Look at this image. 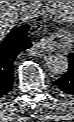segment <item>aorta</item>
I'll list each match as a JSON object with an SVG mask.
<instances>
[{
  "label": "aorta",
  "mask_w": 74,
  "mask_h": 122,
  "mask_svg": "<svg viewBox=\"0 0 74 122\" xmlns=\"http://www.w3.org/2000/svg\"><path fill=\"white\" fill-rule=\"evenodd\" d=\"M69 62L66 56L60 53L48 55L46 58L47 69L55 75H63L68 71Z\"/></svg>",
  "instance_id": "aorta-1"
}]
</instances>
